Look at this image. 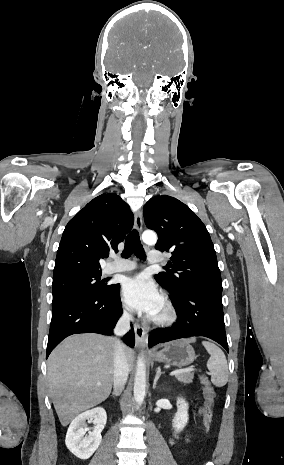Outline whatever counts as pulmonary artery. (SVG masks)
I'll use <instances>...</instances> for the list:
<instances>
[{"label": "pulmonary artery", "mask_w": 284, "mask_h": 465, "mask_svg": "<svg viewBox=\"0 0 284 465\" xmlns=\"http://www.w3.org/2000/svg\"><path fill=\"white\" fill-rule=\"evenodd\" d=\"M146 261L148 263H164L167 261V256L161 250H149L147 252ZM135 268V263L127 260H114L105 269L106 274H114L117 272L131 271Z\"/></svg>", "instance_id": "obj_1"}]
</instances>
